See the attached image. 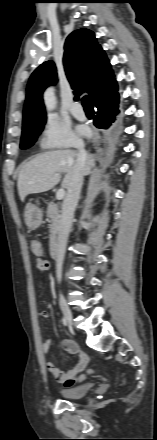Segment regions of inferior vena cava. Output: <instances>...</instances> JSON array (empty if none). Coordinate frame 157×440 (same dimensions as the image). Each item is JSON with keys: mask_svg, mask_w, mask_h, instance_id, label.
<instances>
[{"mask_svg": "<svg viewBox=\"0 0 157 440\" xmlns=\"http://www.w3.org/2000/svg\"><path fill=\"white\" fill-rule=\"evenodd\" d=\"M73 146L78 150V157L76 170L73 179L68 187L67 195L62 206L61 223L56 247V276L58 282L61 281L62 265L66 250V244L72 226L74 211L80 198L81 187L83 184L82 170L86 157L84 143L82 140L75 141Z\"/></svg>", "mask_w": 157, "mask_h": 440, "instance_id": "602c4592", "label": "inferior vena cava"}]
</instances>
